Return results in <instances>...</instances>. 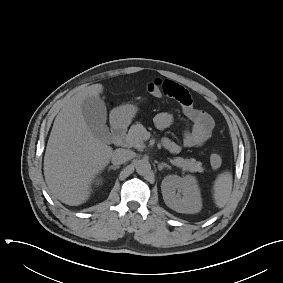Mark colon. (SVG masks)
I'll return each instance as SVG.
<instances>
[{
	"mask_svg": "<svg viewBox=\"0 0 283 283\" xmlns=\"http://www.w3.org/2000/svg\"><path fill=\"white\" fill-rule=\"evenodd\" d=\"M147 91L154 97H162L163 96V89H162V81L155 80L150 82L147 85ZM210 164L212 168L218 169L222 165V155L218 151H214L210 156Z\"/></svg>",
	"mask_w": 283,
	"mask_h": 283,
	"instance_id": "5ec220e1",
	"label": "colon"
}]
</instances>
